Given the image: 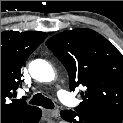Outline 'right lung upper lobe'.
Masks as SVG:
<instances>
[{
  "instance_id": "1",
  "label": "right lung upper lobe",
  "mask_w": 123,
  "mask_h": 123,
  "mask_svg": "<svg viewBox=\"0 0 123 123\" xmlns=\"http://www.w3.org/2000/svg\"><path fill=\"white\" fill-rule=\"evenodd\" d=\"M40 31L1 32V123H8L18 113L36 107L14 99L21 81V67L29 55L45 40Z\"/></svg>"
}]
</instances>
